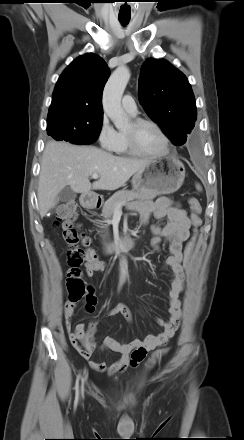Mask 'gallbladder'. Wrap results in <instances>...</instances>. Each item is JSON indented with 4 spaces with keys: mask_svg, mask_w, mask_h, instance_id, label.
Segmentation results:
<instances>
[{
    "mask_svg": "<svg viewBox=\"0 0 244 440\" xmlns=\"http://www.w3.org/2000/svg\"><path fill=\"white\" fill-rule=\"evenodd\" d=\"M76 196V193L70 187H65L58 194L57 202H69L74 200Z\"/></svg>",
    "mask_w": 244,
    "mask_h": 440,
    "instance_id": "gallbladder-1",
    "label": "gallbladder"
}]
</instances>
